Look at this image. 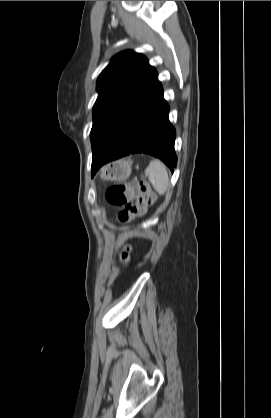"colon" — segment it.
<instances>
[{
    "label": "colon",
    "instance_id": "obj_1",
    "mask_svg": "<svg viewBox=\"0 0 271 418\" xmlns=\"http://www.w3.org/2000/svg\"><path fill=\"white\" fill-rule=\"evenodd\" d=\"M154 198L150 185L142 180L113 184L106 190L107 201L112 205L122 207L118 215L122 223H127L144 214ZM121 261L125 265L128 263V251L122 253Z\"/></svg>",
    "mask_w": 271,
    "mask_h": 418
}]
</instances>
